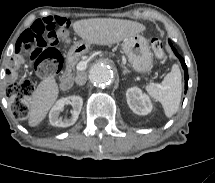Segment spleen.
<instances>
[{"instance_id": "3e777b00", "label": "spleen", "mask_w": 215, "mask_h": 183, "mask_svg": "<svg viewBox=\"0 0 215 183\" xmlns=\"http://www.w3.org/2000/svg\"><path fill=\"white\" fill-rule=\"evenodd\" d=\"M146 91L153 99L162 104L167 117L175 114L179 108L182 93V77L179 66L174 64L161 84L147 85Z\"/></svg>"}]
</instances>
